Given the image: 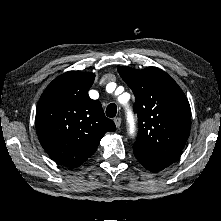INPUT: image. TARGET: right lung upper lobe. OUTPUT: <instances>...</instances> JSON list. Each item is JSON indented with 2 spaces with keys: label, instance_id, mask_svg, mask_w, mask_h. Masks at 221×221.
I'll return each instance as SVG.
<instances>
[{
  "label": "right lung upper lobe",
  "instance_id": "1",
  "mask_svg": "<svg viewBox=\"0 0 221 221\" xmlns=\"http://www.w3.org/2000/svg\"><path fill=\"white\" fill-rule=\"evenodd\" d=\"M94 73L66 72L41 95L36 109V132L47 154L57 163L78 167L97 150L106 132L115 131L101 103L88 95Z\"/></svg>",
  "mask_w": 221,
  "mask_h": 221
}]
</instances>
